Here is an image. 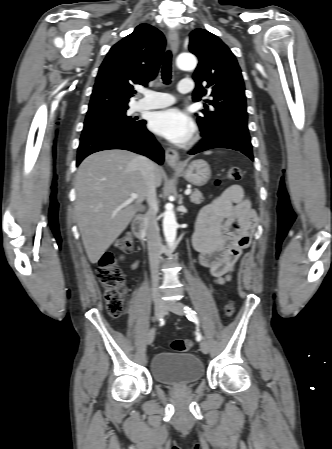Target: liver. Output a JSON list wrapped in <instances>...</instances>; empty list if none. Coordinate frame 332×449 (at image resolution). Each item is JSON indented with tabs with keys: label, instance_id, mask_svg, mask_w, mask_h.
Returning a JSON list of instances; mask_svg holds the SVG:
<instances>
[{
	"label": "liver",
	"instance_id": "liver-1",
	"mask_svg": "<svg viewBox=\"0 0 332 449\" xmlns=\"http://www.w3.org/2000/svg\"><path fill=\"white\" fill-rule=\"evenodd\" d=\"M137 157L125 150L100 151L84 159L77 170L75 215L93 264L127 228L147 196ZM161 182V169L155 165V188ZM132 193L138 195L133 202Z\"/></svg>",
	"mask_w": 332,
	"mask_h": 449
}]
</instances>
